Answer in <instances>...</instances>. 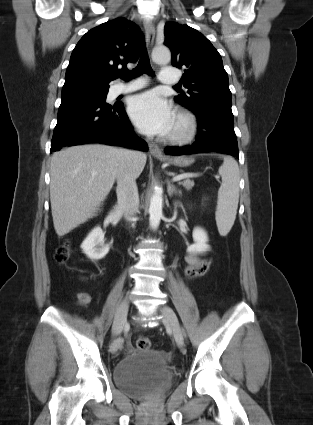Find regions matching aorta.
<instances>
[{"mask_svg": "<svg viewBox=\"0 0 313 425\" xmlns=\"http://www.w3.org/2000/svg\"><path fill=\"white\" fill-rule=\"evenodd\" d=\"M152 59L158 64H167L171 60V52L167 47H155L152 51ZM163 190L160 186L154 187V193L150 199V225L152 229H156L159 226L160 219L162 217V202H163Z\"/></svg>", "mask_w": 313, "mask_h": 425, "instance_id": "1", "label": "aorta"}]
</instances>
